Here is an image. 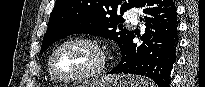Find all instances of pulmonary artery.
<instances>
[{
  "instance_id": "pulmonary-artery-1",
  "label": "pulmonary artery",
  "mask_w": 205,
  "mask_h": 87,
  "mask_svg": "<svg viewBox=\"0 0 205 87\" xmlns=\"http://www.w3.org/2000/svg\"><path fill=\"white\" fill-rule=\"evenodd\" d=\"M125 17H126V19H127L129 22H131L132 24H136L137 21H138L136 14L133 13V12H130V11H128V12L125 14Z\"/></svg>"
}]
</instances>
